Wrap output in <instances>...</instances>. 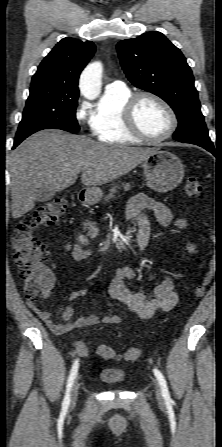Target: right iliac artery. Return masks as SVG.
<instances>
[{
	"mask_svg": "<svg viewBox=\"0 0 222 447\" xmlns=\"http://www.w3.org/2000/svg\"><path fill=\"white\" fill-rule=\"evenodd\" d=\"M78 367H79V363L78 360H76L71 368L68 380H67V386H66V393H65V397L62 403V406L64 408H67L69 406L70 403V390L73 384V381L77 375L78 372Z\"/></svg>",
	"mask_w": 222,
	"mask_h": 447,
	"instance_id": "82829eb1",
	"label": "right iliac artery"
}]
</instances>
